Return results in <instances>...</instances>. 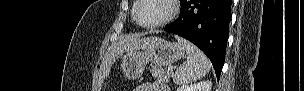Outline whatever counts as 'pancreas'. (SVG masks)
<instances>
[{
	"label": "pancreas",
	"mask_w": 304,
	"mask_h": 91,
	"mask_svg": "<svg viewBox=\"0 0 304 91\" xmlns=\"http://www.w3.org/2000/svg\"><path fill=\"white\" fill-rule=\"evenodd\" d=\"M152 76L161 82H168L172 76V72L168 70H163L162 68L153 67L151 70Z\"/></svg>",
	"instance_id": "pancreas-1"
}]
</instances>
